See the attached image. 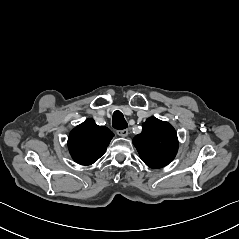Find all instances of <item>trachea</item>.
<instances>
[{
    "instance_id": "3493384b",
    "label": "trachea",
    "mask_w": 239,
    "mask_h": 239,
    "mask_svg": "<svg viewBox=\"0 0 239 239\" xmlns=\"http://www.w3.org/2000/svg\"><path fill=\"white\" fill-rule=\"evenodd\" d=\"M112 126L115 129L123 130L128 127L127 122L124 119L123 114L120 111H115L112 118Z\"/></svg>"
}]
</instances>
